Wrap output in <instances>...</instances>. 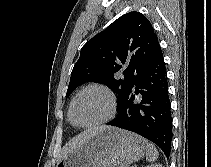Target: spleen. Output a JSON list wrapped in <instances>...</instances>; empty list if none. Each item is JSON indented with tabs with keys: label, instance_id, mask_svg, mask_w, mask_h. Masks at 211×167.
I'll use <instances>...</instances> for the list:
<instances>
[{
	"label": "spleen",
	"instance_id": "3e777b00",
	"mask_svg": "<svg viewBox=\"0 0 211 167\" xmlns=\"http://www.w3.org/2000/svg\"><path fill=\"white\" fill-rule=\"evenodd\" d=\"M158 156L159 154L156 147L152 145L151 143H147L146 144V160L148 162H154L155 160H157Z\"/></svg>",
	"mask_w": 211,
	"mask_h": 167
}]
</instances>
